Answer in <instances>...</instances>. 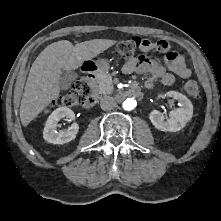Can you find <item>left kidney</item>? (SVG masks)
<instances>
[{"mask_svg":"<svg viewBox=\"0 0 221 221\" xmlns=\"http://www.w3.org/2000/svg\"><path fill=\"white\" fill-rule=\"evenodd\" d=\"M168 95L178 100L180 108L170 111L167 121H164L163 115L157 110L150 113L149 119L155 128L160 131L177 132L184 128L192 118L193 105L185 95L179 92L170 91Z\"/></svg>","mask_w":221,"mask_h":221,"instance_id":"1","label":"left kidney"}]
</instances>
